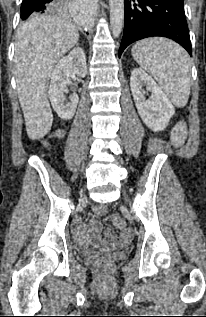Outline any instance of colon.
I'll return each instance as SVG.
<instances>
[{
	"mask_svg": "<svg viewBox=\"0 0 206 317\" xmlns=\"http://www.w3.org/2000/svg\"><path fill=\"white\" fill-rule=\"evenodd\" d=\"M62 135L61 131L55 133V137H60ZM171 140L174 146H181L186 140V126L183 122L178 123L172 130ZM94 211L99 216H104L107 214V209L103 205H97ZM110 221L119 227H124L123 219L118 215H113L110 217ZM96 267L98 270L106 272L112 269L113 264L109 259L101 258L96 262Z\"/></svg>",
	"mask_w": 206,
	"mask_h": 317,
	"instance_id": "colon-1",
	"label": "colon"
}]
</instances>
